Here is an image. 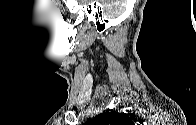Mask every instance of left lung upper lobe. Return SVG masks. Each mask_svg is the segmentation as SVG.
<instances>
[{
  "mask_svg": "<svg viewBox=\"0 0 196 125\" xmlns=\"http://www.w3.org/2000/svg\"><path fill=\"white\" fill-rule=\"evenodd\" d=\"M92 125H132L131 118L125 113L106 112L90 121Z\"/></svg>",
  "mask_w": 196,
  "mask_h": 125,
  "instance_id": "5c2ea615",
  "label": "left lung upper lobe"
}]
</instances>
